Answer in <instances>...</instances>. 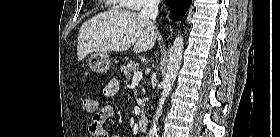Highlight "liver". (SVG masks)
Here are the masks:
<instances>
[{
    "label": "liver",
    "instance_id": "obj_1",
    "mask_svg": "<svg viewBox=\"0 0 280 137\" xmlns=\"http://www.w3.org/2000/svg\"><path fill=\"white\" fill-rule=\"evenodd\" d=\"M157 32L149 19L140 13L111 9L86 21L78 35L77 57L82 61L92 52H122L133 46V52L152 49Z\"/></svg>",
    "mask_w": 280,
    "mask_h": 137
}]
</instances>
